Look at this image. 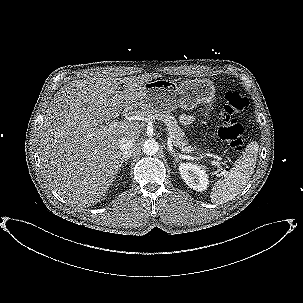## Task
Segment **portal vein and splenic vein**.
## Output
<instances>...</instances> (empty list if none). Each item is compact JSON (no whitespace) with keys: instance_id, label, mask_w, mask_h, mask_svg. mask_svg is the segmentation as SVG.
Segmentation results:
<instances>
[{"instance_id":"obj_1","label":"portal vein and splenic vein","mask_w":303,"mask_h":303,"mask_svg":"<svg viewBox=\"0 0 303 303\" xmlns=\"http://www.w3.org/2000/svg\"><path fill=\"white\" fill-rule=\"evenodd\" d=\"M128 125L129 124L126 123V122L124 123V122H115V121H113L108 126H104L103 130L113 132V131H116V130H119V129H122V128H127ZM214 158H215V156H214ZM212 164L215 165L216 167H218L219 169H221L222 174H227V171L223 170L221 168V165H220L219 162L213 161Z\"/></svg>"}]
</instances>
